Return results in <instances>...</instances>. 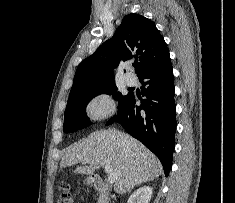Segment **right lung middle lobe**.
Listing matches in <instances>:
<instances>
[{"instance_id": "right-lung-middle-lobe-1", "label": "right lung middle lobe", "mask_w": 235, "mask_h": 203, "mask_svg": "<svg viewBox=\"0 0 235 203\" xmlns=\"http://www.w3.org/2000/svg\"><path fill=\"white\" fill-rule=\"evenodd\" d=\"M116 91L117 87L114 81H107L70 93L65 110L63 131L65 133L75 132L91 124L85 110L90 100L97 95L103 93L113 94V97L119 101L120 106L128 95H122Z\"/></svg>"}]
</instances>
